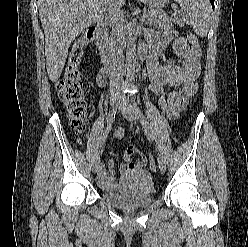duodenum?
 Wrapping results in <instances>:
<instances>
[{
  "instance_id": "410a0bca",
  "label": "duodenum",
  "mask_w": 248,
  "mask_h": 247,
  "mask_svg": "<svg viewBox=\"0 0 248 247\" xmlns=\"http://www.w3.org/2000/svg\"><path fill=\"white\" fill-rule=\"evenodd\" d=\"M93 36L95 38L96 46L100 52L102 65L106 72L113 73L117 65V57H115L107 48L106 40V23L104 20H97L94 26L91 28ZM140 60L144 61L148 59L147 52H141L139 54Z\"/></svg>"
}]
</instances>
